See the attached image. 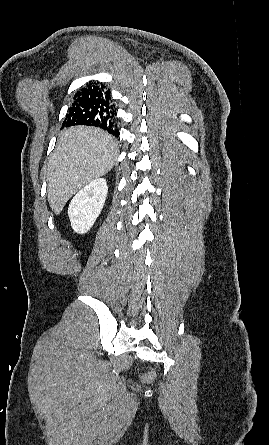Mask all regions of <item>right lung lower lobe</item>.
<instances>
[{"instance_id": "obj_1", "label": "right lung lower lobe", "mask_w": 269, "mask_h": 445, "mask_svg": "<svg viewBox=\"0 0 269 445\" xmlns=\"http://www.w3.org/2000/svg\"><path fill=\"white\" fill-rule=\"evenodd\" d=\"M115 117L116 109L109 89L103 84L89 83L75 94L63 127L96 126L118 137Z\"/></svg>"}]
</instances>
